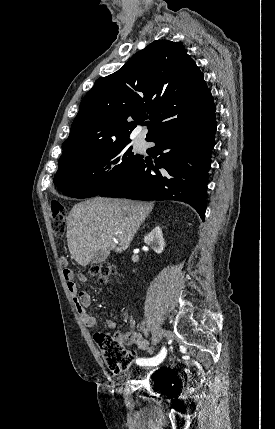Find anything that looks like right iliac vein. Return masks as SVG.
Listing matches in <instances>:
<instances>
[{"instance_id":"obj_1","label":"right iliac vein","mask_w":275,"mask_h":429,"mask_svg":"<svg viewBox=\"0 0 275 429\" xmlns=\"http://www.w3.org/2000/svg\"><path fill=\"white\" fill-rule=\"evenodd\" d=\"M164 335H165V331L161 328H158L153 338V344L156 345L157 343H159V341L162 339Z\"/></svg>"}]
</instances>
